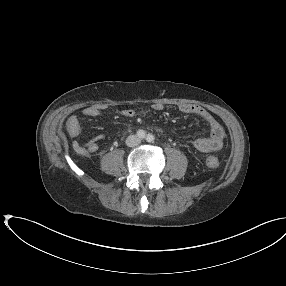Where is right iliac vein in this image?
I'll return each instance as SVG.
<instances>
[{
    "mask_svg": "<svg viewBox=\"0 0 286 286\" xmlns=\"http://www.w3.org/2000/svg\"><path fill=\"white\" fill-rule=\"evenodd\" d=\"M133 141V139H130V142H132Z\"/></svg>",
    "mask_w": 286,
    "mask_h": 286,
    "instance_id": "obj_1",
    "label": "right iliac vein"
}]
</instances>
